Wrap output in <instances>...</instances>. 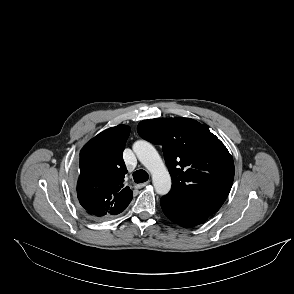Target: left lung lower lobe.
<instances>
[{"instance_id": "obj_1", "label": "left lung lower lobe", "mask_w": 294, "mask_h": 294, "mask_svg": "<svg viewBox=\"0 0 294 294\" xmlns=\"http://www.w3.org/2000/svg\"><path fill=\"white\" fill-rule=\"evenodd\" d=\"M160 203L164 214L171 221L185 228L200 225L210 216L190 207L189 205L174 202L166 196L161 198Z\"/></svg>"}]
</instances>
